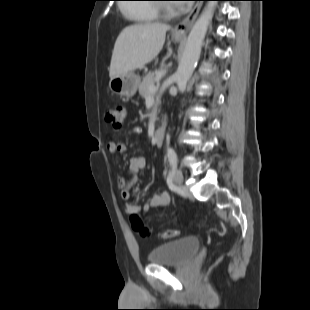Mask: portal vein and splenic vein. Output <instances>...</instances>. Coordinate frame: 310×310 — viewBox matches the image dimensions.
Listing matches in <instances>:
<instances>
[{"instance_id": "1", "label": "portal vein and splenic vein", "mask_w": 310, "mask_h": 310, "mask_svg": "<svg viewBox=\"0 0 310 310\" xmlns=\"http://www.w3.org/2000/svg\"><path fill=\"white\" fill-rule=\"evenodd\" d=\"M156 90H157V88L155 86H151L149 88V92H150L151 95H153L156 92Z\"/></svg>"}]
</instances>
